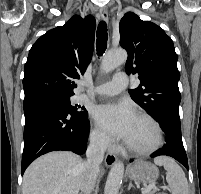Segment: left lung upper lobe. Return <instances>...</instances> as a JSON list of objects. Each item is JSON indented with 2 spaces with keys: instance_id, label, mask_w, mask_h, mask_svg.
<instances>
[{
  "instance_id": "1",
  "label": "left lung upper lobe",
  "mask_w": 201,
  "mask_h": 194,
  "mask_svg": "<svg viewBox=\"0 0 201 194\" xmlns=\"http://www.w3.org/2000/svg\"><path fill=\"white\" fill-rule=\"evenodd\" d=\"M119 31L120 45L128 52L126 72L140 79V85L130 90L132 99L155 118L161 111L179 113L180 73L171 38L158 25L132 12L121 19Z\"/></svg>"
}]
</instances>
